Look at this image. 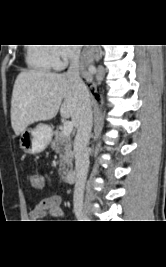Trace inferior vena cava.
<instances>
[{
    "instance_id": "inferior-vena-cava-1",
    "label": "inferior vena cava",
    "mask_w": 166,
    "mask_h": 267,
    "mask_svg": "<svg viewBox=\"0 0 166 267\" xmlns=\"http://www.w3.org/2000/svg\"><path fill=\"white\" fill-rule=\"evenodd\" d=\"M80 49L74 48L71 51L70 66L65 75L72 80L85 94L88 90L79 75ZM93 126L91 102L87 99L83 108L77 134L74 140V155L76 180L74 187V210L80 211L83 207L84 188L89 168V155L87 145L89 144L90 133Z\"/></svg>"
}]
</instances>
